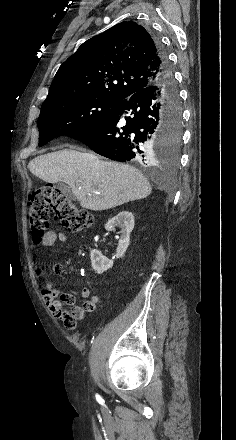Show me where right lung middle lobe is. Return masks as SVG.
<instances>
[{"label": "right lung middle lobe", "instance_id": "right-lung-middle-lobe-1", "mask_svg": "<svg viewBox=\"0 0 236 440\" xmlns=\"http://www.w3.org/2000/svg\"><path fill=\"white\" fill-rule=\"evenodd\" d=\"M174 98H178L177 94ZM120 102L106 101L95 97H81L64 100H53L42 104L38 119L40 132L39 146H43L55 137L72 136L87 130L107 119L119 106ZM181 140V125L165 129L159 147L161 159L174 163L178 157Z\"/></svg>", "mask_w": 236, "mask_h": 440}]
</instances>
